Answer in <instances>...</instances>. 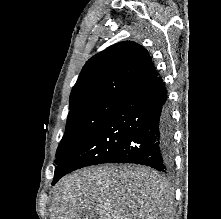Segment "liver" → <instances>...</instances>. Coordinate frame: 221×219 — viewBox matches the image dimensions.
<instances>
[{"instance_id": "6515ba94", "label": "liver", "mask_w": 221, "mask_h": 219, "mask_svg": "<svg viewBox=\"0 0 221 219\" xmlns=\"http://www.w3.org/2000/svg\"><path fill=\"white\" fill-rule=\"evenodd\" d=\"M171 219L173 194L156 171L140 166L89 167L63 177L54 188L52 219Z\"/></svg>"}]
</instances>
